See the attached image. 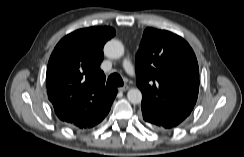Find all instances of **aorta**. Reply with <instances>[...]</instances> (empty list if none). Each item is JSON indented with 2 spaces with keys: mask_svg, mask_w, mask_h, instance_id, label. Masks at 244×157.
I'll return each instance as SVG.
<instances>
[{
  "mask_svg": "<svg viewBox=\"0 0 244 157\" xmlns=\"http://www.w3.org/2000/svg\"><path fill=\"white\" fill-rule=\"evenodd\" d=\"M104 54L108 58L118 59L124 55V46L118 40H110L104 46ZM127 98L132 104H139L142 100V93L139 89H130L127 93Z\"/></svg>",
  "mask_w": 244,
  "mask_h": 157,
  "instance_id": "1",
  "label": "aorta"
}]
</instances>
